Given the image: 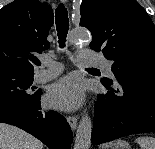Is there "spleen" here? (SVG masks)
Segmentation results:
<instances>
[{
  "label": "spleen",
  "instance_id": "spleen-1",
  "mask_svg": "<svg viewBox=\"0 0 155 149\" xmlns=\"http://www.w3.org/2000/svg\"><path fill=\"white\" fill-rule=\"evenodd\" d=\"M141 149H155V138L148 136H141L135 140Z\"/></svg>",
  "mask_w": 155,
  "mask_h": 149
}]
</instances>
